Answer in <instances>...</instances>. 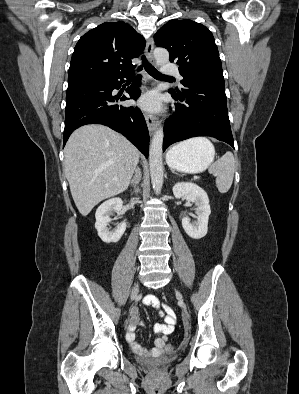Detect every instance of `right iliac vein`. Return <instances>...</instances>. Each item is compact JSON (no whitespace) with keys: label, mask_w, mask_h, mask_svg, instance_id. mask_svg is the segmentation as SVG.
<instances>
[{"label":"right iliac vein","mask_w":299,"mask_h":394,"mask_svg":"<svg viewBox=\"0 0 299 394\" xmlns=\"http://www.w3.org/2000/svg\"><path fill=\"white\" fill-rule=\"evenodd\" d=\"M138 292H139V284L135 283L130 295L131 301L138 295Z\"/></svg>","instance_id":"obj_1"}]
</instances>
